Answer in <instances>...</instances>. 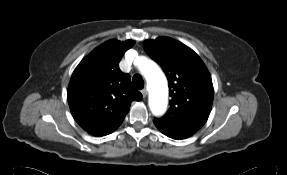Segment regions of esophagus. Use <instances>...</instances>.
Returning a JSON list of instances; mask_svg holds the SVG:
<instances>
[{
    "label": "esophagus",
    "instance_id": "1",
    "mask_svg": "<svg viewBox=\"0 0 287 175\" xmlns=\"http://www.w3.org/2000/svg\"><path fill=\"white\" fill-rule=\"evenodd\" d=\"M141 93H142L143 99H146V97H147V91H146L145 89H143V90L141 91Z\"/></svg>",
    "mask_w": 287,
    "mask_h": 175
}]
</instances>
